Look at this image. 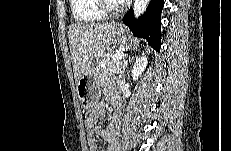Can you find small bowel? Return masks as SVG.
<instances>
[{"label":"small bowel","instance_id":"1","mask_svg":"<svg viewBox=\"0 0 231 151\" xmlns=\"http://www.w3.org/2000/svg\"><path fill=\"white\" fill-rule=\"evenodd\" d=\"M111 93H114V90L111 87L107 88ZM118 99L114 96V100ZM104 116L103 107L96 108L93 112L89 114L85 121V127L87 130V140L89 151H97V143L95 141V136L99 135L107 142V146L102 151H117L118 148V139H119V117L114 118L110 127L105 131H97L95 127V122L101 119Z\"/></svg>","mask_w":231,"mask_h":151}]
</instances>
